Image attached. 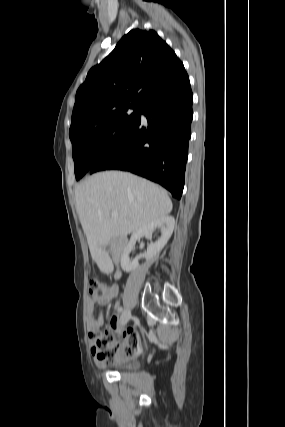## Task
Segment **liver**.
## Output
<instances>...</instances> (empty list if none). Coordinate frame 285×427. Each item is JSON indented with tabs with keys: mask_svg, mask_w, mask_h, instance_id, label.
I'll return each mask as SVG.
<instances>
[{
	"mask_svg": "<svg viewBox=\"0 0 285 427\" xmlns=\"http://www.w3.org/2000/svg\"><path fill=\"white\" fill-rule=\"evenodd\" d=\"M77 213L92 258L101 265L110 258L105 247L148 223L168 215L172 202L158 185L127 172L94 174L75 188ZM112 211L118 216L112 217Z\"/></svg>",
	"mask_w": 285,
	"mask_h": 427,
	"instance_id": "6515ba94",
	"label": "liver"
}]
</instances>
